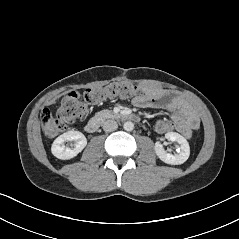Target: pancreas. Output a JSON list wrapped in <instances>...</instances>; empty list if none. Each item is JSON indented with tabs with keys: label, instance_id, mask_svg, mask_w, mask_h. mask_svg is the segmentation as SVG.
Here are the masks:
<instances>
[{
	"label": "pancreas",
	"instance_id": "cf45deb5",
	"mask_svg": "<svg viewBox=\"0 0 239 239\" xmlns=\"http://www.w3.org/2000/svg\"><path fill=\"white\" fill-rule=\"evenodd\" d=\"M95 116L99 119H104V118L113 117L114 113L112 110H102V111L96 113Z\"/></svg>",
	"mask_w": 239,
	"mask_h": 239
}]
</instances>
